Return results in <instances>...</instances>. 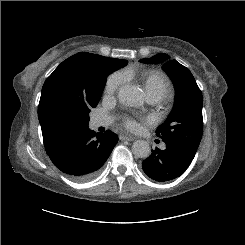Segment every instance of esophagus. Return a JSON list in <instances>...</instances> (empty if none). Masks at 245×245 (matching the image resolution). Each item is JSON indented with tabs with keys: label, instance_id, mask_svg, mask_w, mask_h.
<instances>
[{
	"label": "esophagus",
	"instance_id": "obj_1",
	"mask_svg": "<svg viewBox=\"0 0 245 245\" xmlns=\"http://www.w3.org/2000/svg\"><path fill=\"white\" fill-rule=\"evenodd\" d=\"M119 139L121 141H133L134 140V137L132 136H127V135H120L119 136Z\"/></svg>",
	"mask_w": 245,
	"mask_h": 245
}]
</instances>
